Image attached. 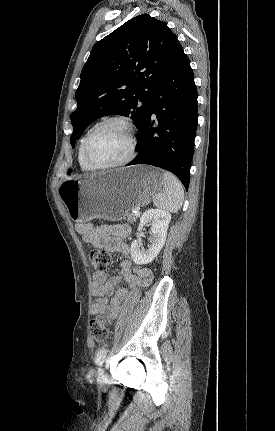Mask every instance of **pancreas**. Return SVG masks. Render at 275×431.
<instances>
[{"label":"pancreas","instance_id":"obj_1","mask_svg":"<svg viewBox=\"0 0 275 431\" xmlns=\"http://www.w3.org/2000/svg\"><path fill=\"white\" fill-rule=\"evenodd\" d=\"M125 218H127L128 222L133 223L138 219V216H135L132 213H127Z\"/></svg>","mask_w":275,"mask_h":431}]
</instances>
